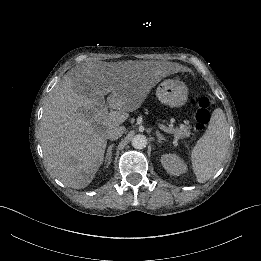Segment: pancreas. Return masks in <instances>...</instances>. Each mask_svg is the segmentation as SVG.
<instances>
[{"label":"pancreas","instance_id":"pancreas-1","mask_svg":"<svg viewBox=\"0 0 261 261\" xmlns=\"http://www.w3.org/2000/svg\"><path fill=\"white\" fill-rule=\"evenodd\" d=\"M191 125L186 123V125H181V128L179 129H172L170 130L169 133H172L175 135V137L179 138V139H185L190 137L191 135Z\"/></svg>","mask_w":261,"mask_h":261}]
</instances>
